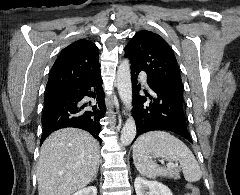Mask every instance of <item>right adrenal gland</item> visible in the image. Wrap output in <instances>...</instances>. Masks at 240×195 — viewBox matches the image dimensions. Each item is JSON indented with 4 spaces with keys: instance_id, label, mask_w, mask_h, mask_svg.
<instances>
[{
    "instance_id": "right-adrenal-gland-1",
    "label": "right adrenal gland",
    "mask_w": 240,
    "mask_h": 195,
    "mask_svg": "<svg viewBox=\"0 0 240 195\" xmlns=\"http://www.w3.org/2000/svg\"><path fill=\"white\" fill-rule=\"evenodd\" d=\"M97 173H98V171H97ZM97 173H95V175H94V177H92L91 181H94V179H96Z\"/></svg>"
}]
</instances>
